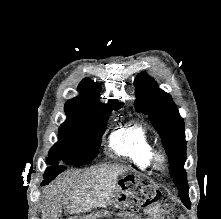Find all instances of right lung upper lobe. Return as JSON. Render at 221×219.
<instances>
[{"label":"right lung upper lobe","instance_id":"cb5924a9","mask_svg":"<svg viewBox=\"0 0 221 219\" xmlns=\"http://www.w3.org/2000/svg\"><path fill=\"white\" fill-rule=\"evenodd\" d=\"M78 91L80 96L65 104L64 110L70 119L98 120L109 116L113 109L117 110L123 106L116 100H110L108 104L101 105L99 102L100 85L89 78L81 81ZM99 109H101V113H99Z\"/></svg>","mask_w":221,"mask_h":219}]
</instances>
